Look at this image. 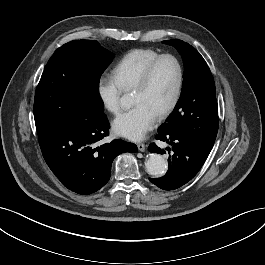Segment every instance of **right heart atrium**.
I'll use <instances>...</instances> for the list:
<instances>
[{
	"instance_id": "d8ad5b80",
	"label": "right heart atrium",
	"mask_w": 265,
	"mask_h": 265,
	"mask_svg": "<svg viewBox=\"0 0 265 265\" xmlns=\"http://www.w3.org/2000/svg\"><path fill=\"white\" fill-rule=\"evenodd\" d=\"M96 91L106 110L114 114L120 111L122 89L113 76L101 75L97 81Z\"/></svg>"
}]
</instances>
